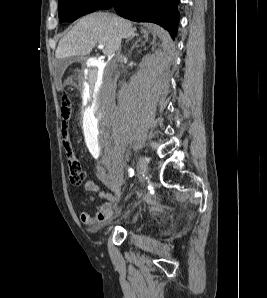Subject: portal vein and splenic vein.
<instances>
[{
    "label": "portal vein and splenic vein",
    "mask_w": 267,
    "mask_h": 298,
    "mask_svg": "<svg viewBox=\"0 0 267 298\" xmlns=\"http://www.w3.org/2000/svg\"><path fill=\"white\" fill-rule=\"evenodd\" d=\"M103 48H104V45H102V44L98 45V49H103Z\"/></svg>",
    "instance_id": "portal-vein-and-splenic-vein-1"
}]
</instances>
